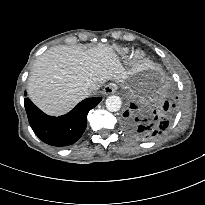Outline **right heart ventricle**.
<instances>
[{"label": "right heart ventricle", "mask_w": 205, "mask_h": 205, "mask_svg": "<svg viewBox=\"0 0 205 205\" xmlns=\"http://www.w3.org/2000/svg\"><path fill=\"white\" fill-rule=\"evenodd\" d=\"M128 52H129V48H127V47H124V48H121V49L118 50V53H119L120 55H125V54H127Z\"/></svg>", "instance_id": "e07e8e85"}]
</instances>
